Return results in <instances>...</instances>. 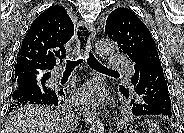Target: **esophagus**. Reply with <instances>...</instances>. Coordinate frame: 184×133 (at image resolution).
I'll return each instance as SVG.
<instances>
[{"label":"esophagus","instance_id":"esophagus-1","mask_svg":"<svg viewBox=\"0 0 184 133\" xmlns=\"http://www.w3.org/2000/svg\"><path fill=\"white\" fill-rule=\"evenodd\" d=\"M96 34L95 27L92 24L80 22L77 27L76 40L77 51L86 53L91 46L92 40ZM84 42V45H83ZM83 116L88 123L96 119V113L87 107H83Z\"/></svg>","mask_w":184,"mask_h":133}]
</instances>
